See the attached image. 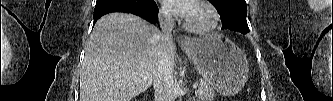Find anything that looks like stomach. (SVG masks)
I'll return each instance as SVG.
<instances>
[{"instance_id":"stomach-1","label":"stomach","mask_w":333,"mask_h":101,"mask_svg":"<svg viewBox=\"0 0 333 101\" xmlns=\"http://www.w3.org/2000/svg\"><path fill=\"white\" fill-rule=\"evenodd\" d=\"M203 79L220 94L236 95L248 78V63L239 47L221 34H208L182 47Z\"/></svg>"}]
</instances>
